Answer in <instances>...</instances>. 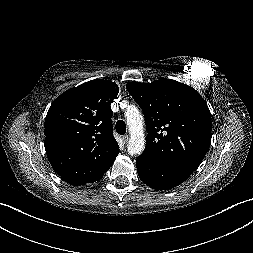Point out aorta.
I'll return each instance as SVG.
<instances>
[{
    "instance_id": "1",
    "label": "aorta",
    "mask_w": 253,
    "mask_h": 253,
    "mask_svg": "<svg viewBox=\"0 0 253 253\" xmlns=\"http://www.w3.org/2000/svg\"><path fill=\"white\" fill-rule=\"evenodd\" d=\"M130 140L127 151L130 155L141 154L145 148V137L141 114L137 108H132L126 113Z\"/></svg>"
}]
</instances>
